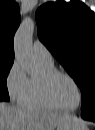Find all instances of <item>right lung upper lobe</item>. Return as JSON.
Segmentation results:
<instances>
[{
    "mask_svg": "<svg viewBox=\"0 0 95 130\" xmlns=\"http://www.w3.org/2000/svg\"><path fill=\"white\" fill-rule=\"evenodd\" d=\"M20 24V10L14 0H0V62L14 61L13 39Z\"/></svg>",
    "mask_w": 95,
    "mask_h": 130,
    "instance_id": "right-lung-upper-lobe-1",
    "label": "right lung upper lobe"
}]
</instances>
